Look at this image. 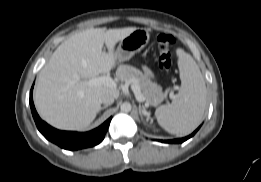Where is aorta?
I'll return each instance as SVG.
<instances>
[{
	"mask_svg": "<svg viewBox=\"0 0 261 182\" xmlns=\"http://www.w3.org/2000/svg\"><path fill=\"white\" fill-rule=\"evenodd\" d=\"M121 111L124 113H128L131 111L132 106L129 102H124L121 107H120Z\"/></svg>",
	"mask_w": 261,
	"mask_h": 182,
	"instance_id": "762f6f07",
	"label": "aorta"
}]
</instances>
